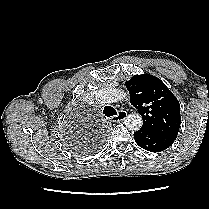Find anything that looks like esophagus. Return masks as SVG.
<instances>
[{"label":"esophagus","instance_id":"obj_1","mask_svg":"<svg viewBox=\"0 0 209 209\" xmlns=\"http://www.w3.org/2000/svg\"><path fill=\"white\" fill-rule=\"evenodd\" d=\"M127 117V112L125 110H119L118 114L111 117L113 122H120L123 121Z\"/></svg>","mask_w":209,"mask_h":209}]
</instances>
